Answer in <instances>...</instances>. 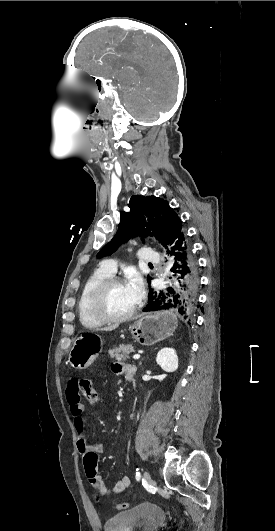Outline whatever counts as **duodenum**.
Wrapping results in <instances>:
<instances>
[{"mask_svg": "<svg viewBox=\"0 0 275 531\" xmlns=\"http://www.w3.org/2000/svg\"><path fill=\"white\" fill-rule=\"evenodd\" d=\"M133 378H134V374H133V373H127V374H126V379H127V380L130 381V380H132Z\"/></svg>", "mask_w": 275, "mask_h": 531, "instance_id": "1", "label": "duodenum"}]
</instances>
